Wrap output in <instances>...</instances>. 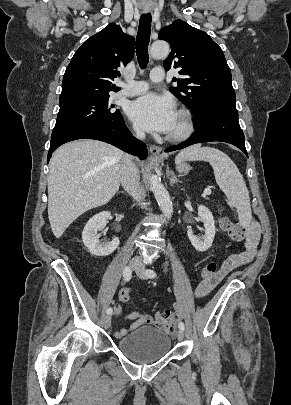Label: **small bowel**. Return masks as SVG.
<instances>
[{
    "instance_id": "small-bowel-1",
    "label": "small bowel",
    "mask_w": 291,
    "mask_h": 405,
    "mask_svg": "<svg viewBox=\"0 0 291 405\" xmlns=\"http://www.w3.org/2000/svg\"><path fill=\"white\" fill-rule=\"evenodd\" d=\"M259 238L260 229L258 224H250L248 227V237L244 244L243 250L229 254L220 267L215 279L209 281L203 280L199 283L195 290V296L198 298L206 296L228 273L237 267L249 263L255 256ZM113 312L116 316H124L126 319L132 321L129 327L115 331L114 336L117 339L124 337L132 330L144 324L156 326L166 333L172 334L177 328V324L182 317V308L178 302L174 303L173 310L166 309L158 311L154 317L140 312L124 313L122 307L119 305L114 307Z\"/></svg>"
}]
</instances>
